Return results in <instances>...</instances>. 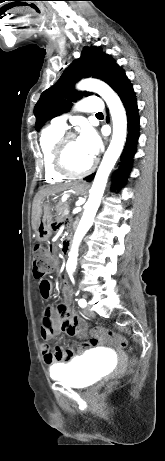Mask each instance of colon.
Masks as SVG:
<instances>
[{"label": "colon", "mask_w": 165, "mask_h": 461, "mask_svg": "<svg viewBox=\"0 0 165 461\" xmlns=\"http://www.w3.org/2000/svg\"><path fill=\"white\" fill-rule=\"evenodd\" d=\"M53 269V261L49 255V251L43 245H37L34 248V256H33V276L35 279H41L45 274L49 273ZM93 336H100L101 340L106 339L110 340L111 342L115 343L121 348H125L127 346L126 339L113 332L112 330L96 328L93 331ZM92 337L90 338L92 340ZM81 345V342H80ZM79 345V346H80ZM100 343L96 346L98 347ZM95 346V345H94ZM68 350H72L73 346L68 345ZM135 360L131 359L130 365L133 366Z\"/></svg>", "instance_id": "obj_1"}]
</instances>
